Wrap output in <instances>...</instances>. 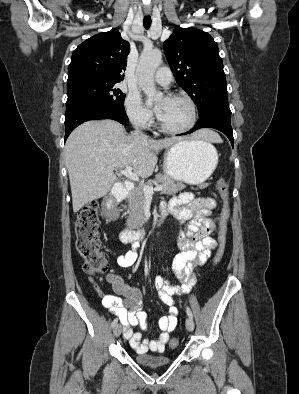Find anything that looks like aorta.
I'll use <instances>...</instances> for the list:
<instances>
[{
    "label": "aorta",
    "mask_w": 299,
    "mask_h": 394,
    "mask_svg": "<svg viewBox=\"0 0 299 394\" xmlns=\"http://www.w3.org/2000/svg\"><path fill=\"white\" fill-rule=\"evenodd\" d=\"M161 62L162 53L160 50L143 52L140 56L139 65L137 67L138 82L139 87L147 96L148 101L157 100L162 97V93L156 90L154 82L156 69Z\"/></svg>",
    "instance_id": "aorta-1"
}]
</instances>
